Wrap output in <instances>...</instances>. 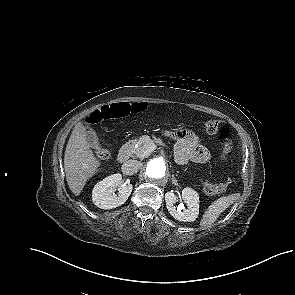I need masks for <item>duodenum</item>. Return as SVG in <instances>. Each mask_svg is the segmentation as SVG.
Listing matches in <instances>:
<instances>
[{
    "label": "duodenum",
    "mask_w": 295,
    "mask_h": 295,
    "mask_svg": "<svg viewBox=\"0 0 295 295\" xmlns=\"http://www.w3.org/2000/svg\"><path fill=\"white\" fill-rule=\"evenodd\" d=\"M132 146H133V143L129 141L121 147L118 153V161L120 163H123L130 158V155L132 152Z\"/></svg>",
    "instance_id": "410a0bca"
}]
</instances>
